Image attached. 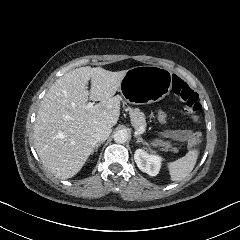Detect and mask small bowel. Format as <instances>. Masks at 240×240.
Segmentation results:
<instances>
[{"mask_svg": "<svg viewBox=\"0 0 240 240\" xmlns=\"http://www.w3.org/2000/svg\"><path fill=\"white\" fill-rule=\"evenodd\" d=\"M194 119H196L195 116ZM191 132H193L192 129L166 130L161 133V138L174 141H187V137Z\"/></svg>", "mask_w": 240, "mask_h": 240, "instance_id": "c3829d8e", "label": "small bowel"}]
</instances>
